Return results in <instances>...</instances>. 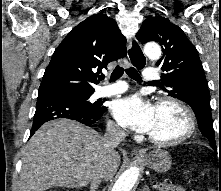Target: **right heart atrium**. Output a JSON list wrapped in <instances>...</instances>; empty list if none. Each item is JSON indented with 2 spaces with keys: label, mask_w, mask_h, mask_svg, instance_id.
Masks as SVG:
<instances>
[{
  "label": "right heart atrium",
  "mask_w": 221,
  "mask_h": 191,
  "mask_svg": "<svg viewBox=\"0 0 221 191\" xmlns=\"http://www.w3.org/2000/svg\"><path fill=\"white\" fill-rule=\"evenodd\" d=\"M108 128L110 132L113 134L120 135V136L124 134L123 129L115 122H109Z\"/></svg>",
  "instance_id": "obj_1"
}]
</instances>
